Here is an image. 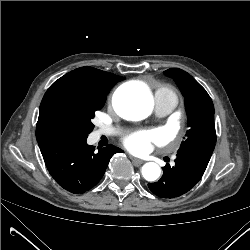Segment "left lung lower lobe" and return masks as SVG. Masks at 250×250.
<instances>
[{"label":"left lung lower lobe","instance_id":"left-lung-lower-lobe-1","mask_svg":"<svg viewBox=\"0 0 250 250\" xmlns=\"http://www.w3.org/2000/svg\"><path fill=\"white\" fill-rule=\"evenodd\" d=\"M215 143L189 146L177 153L175 166L166 164L164 174L149 189L161 198H175L187 193L201 179L214 150Z\"/></svg>","mask_w":250,"mask_h":250}]
</instances>
